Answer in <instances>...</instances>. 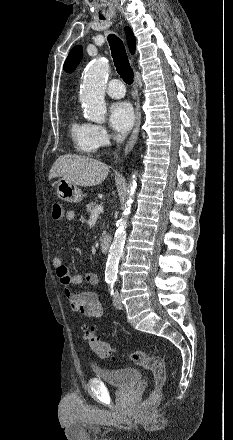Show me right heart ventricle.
<instances>
[{"mask_svg":"<svg viewBox=\"0 0 233 440\" xmlns=\"http://www.w3.org/2000/svg\"><path fill=\"white\" fill-rule=\"evenodd\" d=\"M69 133L78 152L87 155L96 152L91 138V124L80 120L77 115H73L69 124Z\"/></svg>","mask_w":233,"mask_h":440,"instance_id":"right-heart-ventricle-1","label":"right heart ventricle"}]
</instances>
